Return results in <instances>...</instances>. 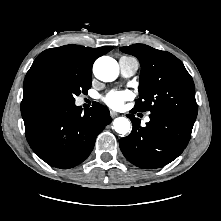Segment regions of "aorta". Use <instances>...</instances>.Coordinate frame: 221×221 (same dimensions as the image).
Masks as SVG:
<instances>
[{"label": "aorta", "mask_w": 221, "mask_h": 221, "mask_svg": "<svg viewBox=\"0 0 221 221\" xmlns=\"http://www.w3.org/2000/svg\"><path fill=\"white\" fill-rule=\"evenodd\" d=\"M93 71L99 80L112 82L118 77L119 66L113 58L104 56L95 61ZM113 128L119 134H126L130 131L131 124L126 117H118L113 122Z\"/></svg>", "instance_id": "762f6f07"}]
</instances>
